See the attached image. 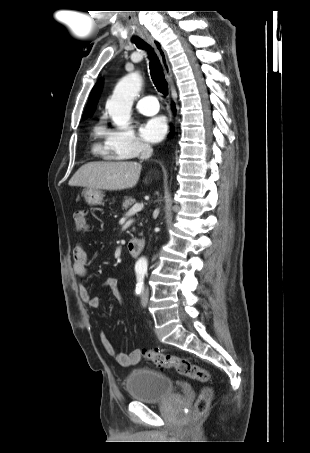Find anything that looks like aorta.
<instances>
[{"instance_id": "762f6f07", "label": "aorta", "mask_w": 310, "mask_h": 453, "mask_svg": "<svg viewBox=\"0 0 310 453\" xmlns=\"http://www.w3.org/2000/svg\"><path fill=\"white\" fill-rule=\"evenodd\" d=\"M142 87V78L138 72L123 77L116 85L111 98L106 103L109 116L117 126L128 124L131 117V108L134 99ZM136 269H146L147 260L140 258L136 262Z\"/></svg>"}]
</instances>
